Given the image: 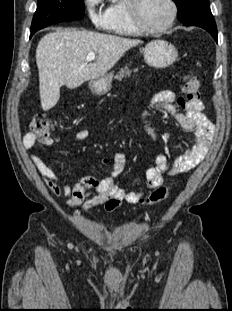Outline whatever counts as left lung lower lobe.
Returning a JSON list of instances; mask_svg holds the SVG:
<instances>
[{"label":"left lung lower lobe","mask_w":232,"mask_h":311,"mask_svg":"<svg viewBox=\"0 0 232 311\" xmlns=\"http://www.w3.org/2000/svg\"><path fill=\"white\" fill-rule=\"evenodd\" d=\"M185 26H198L208 31L217 42V28L210 7L205 6L181 20Z\"/></svg>","instance_id":"obj_1"}]
</instances>
